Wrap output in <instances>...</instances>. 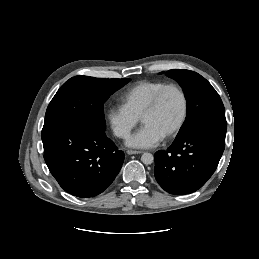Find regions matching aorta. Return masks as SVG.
Masks as SVG:
<instances>
[{
    "label": "aorta",
    "instance_id": "obj_1",
    "mask_svg": "<svg viewBox=\"0 0 259 259\" xmlns=\"http://www.w3.org/2000/svg\"><path fill=\"white\" fill-rule=\"evenodd\" d=\"M141 161L146 165L151 164L154 161V156L151 153L145 152L141 156Z\"/></svg>",
    "mask_w": 259,
    "mask_h": 259
}]
</instances>
